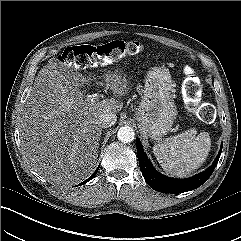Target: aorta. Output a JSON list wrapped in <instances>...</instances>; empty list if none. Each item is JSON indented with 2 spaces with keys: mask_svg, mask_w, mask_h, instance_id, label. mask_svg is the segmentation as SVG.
<instances>
[{
  "mask_svg": "<svg viewBox=\"0 0 241 241\" xmlns=\"http://www.w3.org/2000/svg\"><path fill=\"white\" fill-rule=\"evenodd\" d=\"M117 138L123 143H129L134 140L135 132L130 126H123L118 130Z\"/></svg>",
  "mask_w": 241,
  "mask_h": 241,
  "instance_id": "aorta-1",
  "label": "aorta"
}]
</instances>
